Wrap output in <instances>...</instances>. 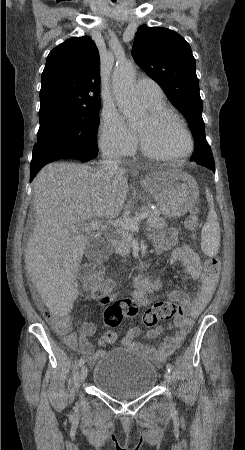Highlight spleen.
<instances>
[{
    "label": "spleen",
    "instance_id": "1",
    "mask_svg": "<svg viewBox=\"0 0 245 450\" xmlns=\"http://www.w3.org/2000/svg\"><path fill=\"white\" fill-rule=\"evenodd\" d=\"M206 198L209 205V213L201 232V249L205 255L214 257L218 253L220 246V227L217 213L215 212L213 196L208 188H206Z\"/></svg>",
    "mask_w": 245,
    "mask_h": 450
}]
</instances>
